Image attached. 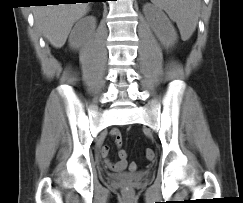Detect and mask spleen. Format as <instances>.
Segmentation results:
<instances>
[{"label": "spleen", "instance_id": "spleen-1", "mask_svg": "<svg viewBox=\"0 0 243 203\" xmlns=\"http://www.w3.org/2000/svg\"><path fill=\"white\" fill-rule=\"evenodd\" d=\"M151 2L176 22L183 41L192 36L198 23L201 0H151Z\"/></svg>", "mask_w": 243, "mask_h": 203}]
</instances>
